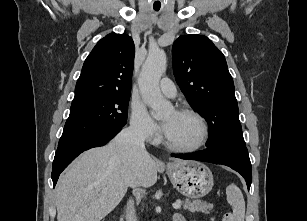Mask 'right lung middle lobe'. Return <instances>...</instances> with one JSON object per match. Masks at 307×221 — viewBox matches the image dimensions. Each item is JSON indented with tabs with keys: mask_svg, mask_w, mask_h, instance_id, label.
<instances>
[{
	"mask_svg": "<svg viewBox=\"0 0 307 221\" xmlns=\"http://www.w3.org/2000/svg\"><path fill=\"white\" fill-rule=\"evenodd\" d=\"M129 99L130 93H114L72 102L58 145L124 127Z\"/></svg>",
	"mask_w": 307,
	"mask_h": 221,
	"instance_id": "1",
	"label": "right lung middle lobe"
}]
</instances>
